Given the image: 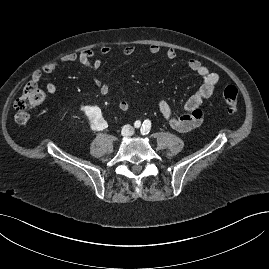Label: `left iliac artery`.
I'll list each match as a JSON object with an SVG mask.
<instances>
[{"mask_svg": "<svg viewBox=\"0 0 269 269\" xmlns=\"http://www.w3.org/2000/svg\"><path fill=\"white\" fill-rule=\"evenodd\" d=\"M151 128V122L149 120H145L141 127V134L146 135L149 133Z\"/></svg>", "mask_w": 269, "mask_h": 269, "instance_id": "left-iliac-artery-1", "label": "left iliac artery"}]
</instances>
